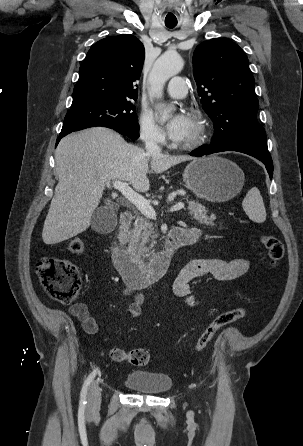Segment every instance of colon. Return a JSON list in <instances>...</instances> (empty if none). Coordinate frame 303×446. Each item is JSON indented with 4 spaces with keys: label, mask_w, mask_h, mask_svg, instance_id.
Listing matches in <instances>:
<instances>
[{
    "label": "colon",
    "mask_w": 303,
    "mask_h": 446,
    "mask_svg": "<svg viewBox=\"0 0 303 446\" xmlns=\"http://www.w3.org/2000/svg\"><path fill=\"white\" fill-rule=\"evenodd\" d=\"M261 242L267 250L270 263L273 266L277 265L284 255V246L281 240L273 235H263ZM84 248V243L79 238H73L68 243V250L72 254H82ZM36 273L42 287L51 299L62 304H69L77 298L81 280L77 268L71 261L44 257L37 262ZM245 314L244 307H237L219 314L201 332L197 338L195 349L197 351L205 349L221 328L244 317ZM111 357L115 361H127L135 366H144L151 359L149 351L141 348L130 351L113 349Z\"/></svg>",
    "instance_id": "5ec220e1"
}]
</instances>
